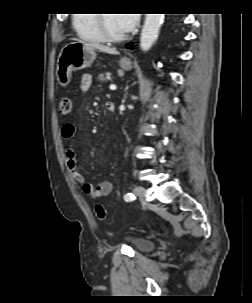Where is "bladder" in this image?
Wrapping results in <instances>:
<instances>
[{
	"label": "bladder",
	"mask_w": 252,
	"mask_h": 303,
	"mask_svg": "<svg viewBox=\"0 0 252 303\" xmlns=\"http://www.w3.org/2000/svg\"><path fill=\"white\" fill-rule=\"evenodd\" d=\"M127 240L130 242L133 248L139 252H149L156 247V243L153 240L142 237L128 236Z\"/></svg>",
	"instance_id": "bladder-1"
}]
</instances>
